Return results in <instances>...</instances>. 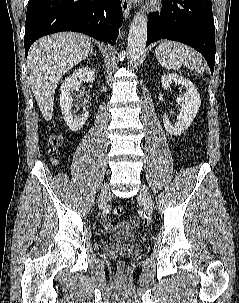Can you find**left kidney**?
<instances>
[{
	"mask_svg": "<svg viewBox=\"0 0 239 303\" xmlns=\"http://www.w3.org/2000/svg\"><path fill=\"white\" fill-rule=\"evenodd\" d=\"M161 83L165 90L170 88L172 83L181 85L186 89L184 95L178 99L181 109L175 125L171 124L166 115L163 116L165 130L172 135H181L191 125L199 110L201 104L200 95L195 85L190 80L174 73L164 74L161 77Z\"/></svg>",
	"mask_w": 239,
	"mask_h": 303,
	"instance_id": "5707ae66",
	"label": "left kidney"
}]
</instances>
